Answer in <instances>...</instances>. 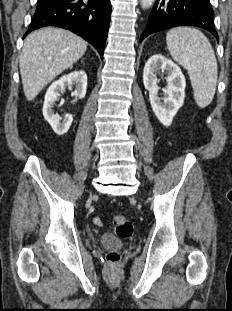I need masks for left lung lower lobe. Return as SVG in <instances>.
I'll return each instance as SVG.
<instances>
[{"label":"left lung lower lobe","mask_w":232,"mask_h":311,"mask_svg":"<svg viewBox=\"0 0 232 311\" xmlns=\"http://www.w3.org/2000/svg\"><path fill=\"white\" fill-rule=\"evenodd\" d=\"M184 25L204 28L218 39L210 0H156L140 41L152 33Z\"/></svg>","instance_id":"obj_1"}]
</instances>
